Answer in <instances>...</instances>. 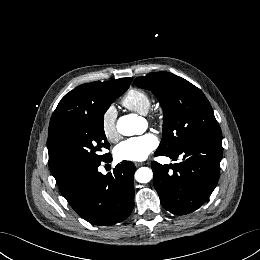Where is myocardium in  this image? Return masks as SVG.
<instances>
[{
  "instance_id": "myocardium-1",
  "label": "myocardium",
  "mask_w": 260,
  "mask_h": 260,
  "mask_svg": "<svg viewBox=\"0 0 260 260\" xmlns=\"http://www.w3.org/2000/svg\"><path fill=\"white\" fill-rule=\"evenodd\" d=\"M152 117H153L154 119H157V118H158V115L155 114V113H153Z\"/></svg>"
}]
</instances>
